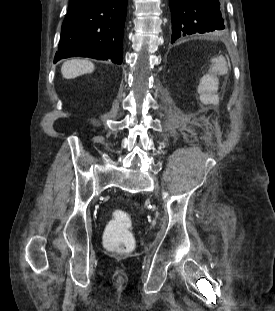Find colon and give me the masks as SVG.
<instances>
[{
	"label": "colon",
	"mask_w": 275,
	"mask_h": 311,
	"mask_svg": "<svg viewBox=\"0 0 275 311\" xmlns=\"http://www.w3.org/2000/svg\"><path fill=\"white\" fill-rule=\"evenodd\" d=\"M131 218L127 212L116 209L107 224L104 244L107 248L127 253L135 247V239L130 231Z\"/></svg>",
	"instance_id": "1"
}]
</instances>
